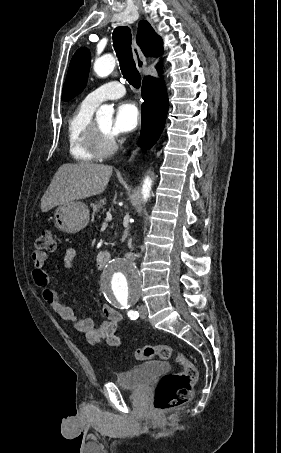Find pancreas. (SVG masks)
<instances>
[{"mask_svg": "<svg viewBox=\"0 0 281 453\" xmlns=\"http://www.w3.org/2000/svg\"><path fill=\"white\" fill-rule=\"evenodd\" d=\"M105 200H106V198H100V200H96L95 204H91L92 216H94V214H96V212H103V210H104L103 204H106ZM101 208H103V210H101ZM99 218H100V216H99Z\"/></svg>", "mask_w": 281, "mask_h": 453, "instance_id": "1", "label": "pancreas"}]
</instances>
